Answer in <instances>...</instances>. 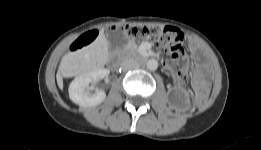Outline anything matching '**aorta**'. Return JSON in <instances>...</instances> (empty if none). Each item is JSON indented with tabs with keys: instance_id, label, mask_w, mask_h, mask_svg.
Listing matches in <instances>:
<instances>
[{
	"instance_id": "obj_1",
	"label": "aorta",
	"mask_w": 261,
	"mask_h": 150,
	"mask_svg": "<svg viewBox=\"0 0 261 150\" xmlns=\"http://www.w3.org/2000/svg\"><path fill=\"white\" fill-rule=\"evenodd\" d=\"M148 70L155 71L158 68V61L155 59H150L146 63Z\"/></svg>"
}]
</instances>
